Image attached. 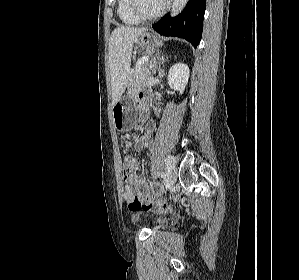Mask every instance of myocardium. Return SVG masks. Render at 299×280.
I'll use <instances>...</instances> for the list:
<instances>
[{
  "label": "myocardium",
  "instance_id": "1",
  "mask_svg": "<svg viewBox=\"0 0 299 280\" xmlns=\"http://www.w3.org/2000/svg\"><path fill=\"white\" fill-rule=\"evenodd\" d=\"M169 0H165L161 9L154 14H145L139 7V0H129V8L131 13L140 21H151L161 17L167 10Z\"/></svg>",
  "mask_w": 299,
  "mask_h": 280
}]
</instances>
